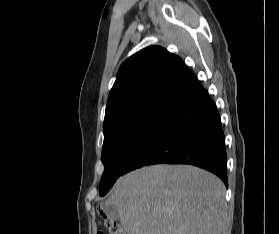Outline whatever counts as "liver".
I'll list each match as a JSON object with an SVG mask.
<instances>
[{
	"label": "liver",
	"mask_w": 279,
	"mask_h": 234,
	"mask_svg": "<svg viewBox=\"0 0 279 234\" xmlns=\"http://www.w3.org/2000/svg\"><path fill=\"white\" fill-rule=\"evenodd\" d=\"M115 205L127 234H222L223 182L191 165H153L120 177L104 206Z\"/></svg>",
	"instance_id": "liver-1"
}]
</instances>
